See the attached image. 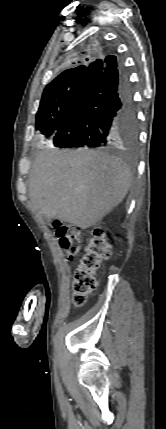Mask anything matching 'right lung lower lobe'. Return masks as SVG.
<instances>
[{"instance_id":"obj_1","label":"right lung lower lobe","mask_w":166,"mask_h":429,"mask_svg":"<svg viewBox=\"0 0 166 429\" xmlns=\"http://www.w3.org/2000/svg\"><path fill=\"white\" fill-rule=\"evenodd\" d=\"M136 122L127 69L115 55H108L88 65L54 142L58 147L103 146L118 129Z\"/></svg>"}]
</instances>
